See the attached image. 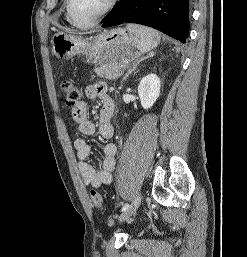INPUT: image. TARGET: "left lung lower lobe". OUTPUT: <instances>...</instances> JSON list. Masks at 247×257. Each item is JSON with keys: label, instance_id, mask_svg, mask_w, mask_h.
<instances>
[{"label": "left lung lower lobe", "instance_id": "1", "mask_svg": "<svg viewBox=\"0 0 247 257\" xmlns=\"http://www.w3.org/2000/svg\"><path fill=\"white\" fill-rule=\"evenodd\" d=\"M138 23L186 42L189 33V0H120L105 17L102 27Z\"/></svg>", "mask_w": 247, "mask_h": 257}]
</instances>
